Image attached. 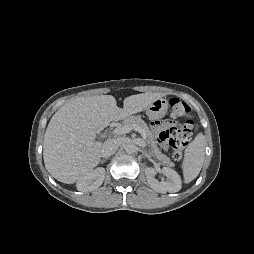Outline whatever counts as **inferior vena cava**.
Returning a JSON list of instances; mask_svg holds the SVG:
<instances>
[{"mask_svg":"<svg viewBox=\"0 0 254 254\" xmlns=\"http://www.w3.org/2000/svg\"><path fill=\"white\" fill-rule=\"evenodd\" d=\"M118 148V141L115 139H108L103 143L101 149V156L102 157H109L111 156Z\"/></svg>","mask_w":254,"mask_h":254,"instance_id":"1","label":"inferior vena cava"}]
</instances>
